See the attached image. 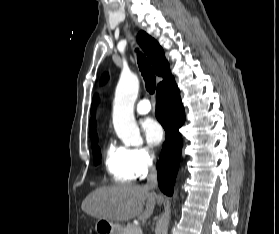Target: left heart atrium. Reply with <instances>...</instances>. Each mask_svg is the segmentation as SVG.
<instances>
[{"label":"left heart atrium","instance_id":"obj_1","mask_svg":"<svg viewBox=\"0 0 279 234\" xmlns=\"http://www.w3.org/2000/svg\"><path fill=\"white\" fill-rule=\"evenodd\" d=\"M142 128L149 143L158 145L162 141L164 131L162 126L155 119H145Z\"/></svg>","mask_w":279,"mask_h":234}]
</instances>
